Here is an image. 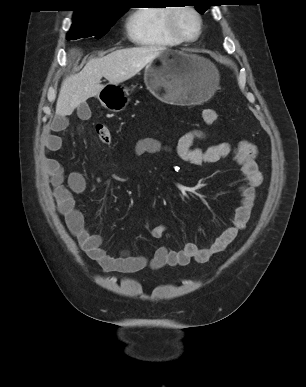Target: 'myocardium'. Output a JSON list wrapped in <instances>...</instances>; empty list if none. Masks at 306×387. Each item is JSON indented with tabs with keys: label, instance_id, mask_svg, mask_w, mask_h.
<instances>
[{
	"label": "myocardium",
	"instance_id": "f54148a6",
	"mask_svg": "<svg viewBox=\"0 0 306 387\" xmlns=\"http://www.w3.org/2000/svg\"><path fill=\"white\" fill-rule=\"evenodd\" d=\"M182 10H187L191 12L197 19L198 22V27H197V32L194 37H187L182 33V31L179 29L177 25V14L182 11ZM167 28L170 32V34L179 40L182 43H192L197 41L203 31V18L201 13L191 5H182V6H175L170 9L168 17H167Z\"/></svg>",
	"mask_w": 306,
	"mask_h": 387
}]
</instances>
